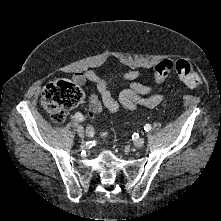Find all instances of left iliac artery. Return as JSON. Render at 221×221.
<instances>
[{"instance_id":"left-iliac-artery-1","label":"left iliac artery","mask_w":221,"mask_h":221,"mask_svg":"<svg viewBox=\"0 0 221 221\" xmlns=\"http://www.w3.org/2000/svg\"><path fill=\"white\" fill-rule=\"evenodd\" d=\"M144 130H145L146 132L150 131V130H151V125L146 124V125L144 126Z\"/></svg>"}]
</instances>
